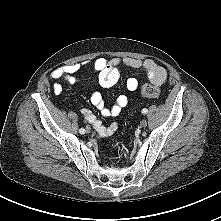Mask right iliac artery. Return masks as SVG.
Wrapping results in <instances>:
<instances>
[{
	"instance_id": "obj_1",
	"label": "right iliac artery",
	"mask_w": 221,
	"mask_h": 221,
	"mask_svg": "<svg viewBox=\"0 0 221 221\" xmlns=\"http://www.w3.org/2000/svg\"><path fill=\"white\" fill-rule=\"evenodd\" d=\"M79 132H80V134H84V133H85V129L81 128V129L79 130Z\"/></svg>"
}]
</instances>
